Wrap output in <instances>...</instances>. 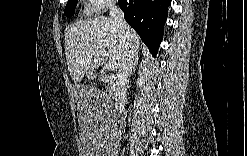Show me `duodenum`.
Segmentation results:
<instances>
[{
	"label": "duodenum",
	"instance_id": "1",
	"mask_svg": "<svg viewBox=\"0 0 247 156\" xmlns=\"http://www.w3.org/2000/svg\"><path fill=\"white\" fill-rule=\"evenodd\" d=\"M109 79L111 80V82L114 84L115 86V90H116V93H117V102H116V110L119 109V106L121 105V97H122V87L119 83V80L115 77V76H112V75H108Z\"/></svg>",
	"mask_w": 247,
	"mask_h": 156
}]
</instances>
